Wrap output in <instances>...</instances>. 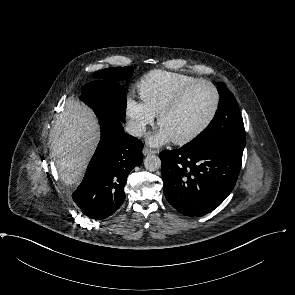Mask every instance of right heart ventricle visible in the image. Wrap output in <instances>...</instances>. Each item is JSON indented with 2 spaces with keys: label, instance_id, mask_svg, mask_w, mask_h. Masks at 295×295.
Listing matches in <instances>:
<instances>
[{
  "label": "right heart ventricle",
  "instance_id": "right-heart-ventricle-1",
  "mask_svg": "<svg viewBox=\"0 0 295 295\" xmlns=\"http://www.w3.org/2000/svg\"><path fill=\"white\" fill-rule=\"evenodd\" d=\"M195 80L190 75L155 70L140 80L138 89L142 100L158 115L182 88Z\"/></svg>",
  "mask_w": 295,
  "mask_h": 295
}]
</instances>
